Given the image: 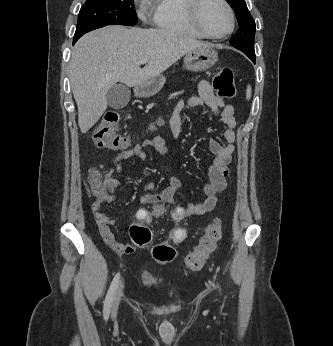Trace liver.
Wrapping results in <instances>:
<instances>
[{"mask_svg": "<svg viewBox=\"0 0 333 346\" xmlns=\"http://www.w3.org/2000/svg\"><path fill=\"white\" fill-rule=\"evenodd\" d=\"M208 46L164 29L108 26L82 36L69 63L81 132L92 128L105 112L106 94L114 84L136 87L160 75L188 52ZM143 59L148 64L140 68Z\"/></svg>", "mask_w": 333, "mask_h": 346, "instance_id": "obj_1", "label": "liver"}]
</instances>
